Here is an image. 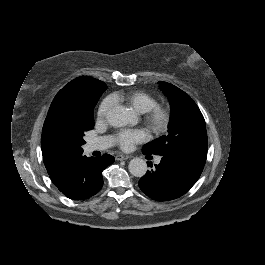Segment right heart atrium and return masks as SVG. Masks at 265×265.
<instances>
[{"label": "right heart atrium", "instance_id": "obj_1", "mask_svg": "<svg viewBox=\"0 0 265 265\" xmlns=\"http://www.w3.org/2000/svg\"><path fill=\"white\" fill-rule=\"evenodd\" d=\"M114 107L115 103L110 97L104 98L97 109V120L101 122L105 121Z\"/></svg>", "mask_w": 265, "mask_h": 265}]
</instances>
